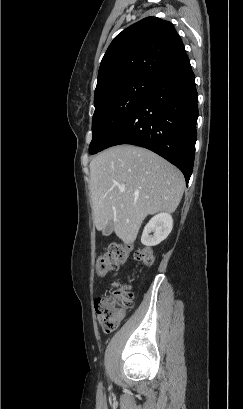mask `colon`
<instances>
[{
    "label": "colon",
    "mask_w": 243,
    "mask_h": 409,
    "mask_svg": "<svg viewBox=\"0 0 243 409\" xmlns=\"http://www.w3.org/2000/svg\"><path fill=\"white\" fill-rule=\"evenodd\" d=\"M130 249L125 245L111 244L106 253L96 261V272L100 277L117 270L128 258ZM135 258L147 265L153 263V252L150 247H142L135 252ZM133 304V293L125 285L114 290L111 296L99 297L96 300V311L102 330L114 332Z\"/></svg>",
    "instance_id": "obj_1"
}]
</instances>
